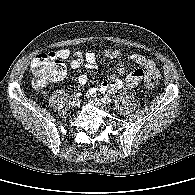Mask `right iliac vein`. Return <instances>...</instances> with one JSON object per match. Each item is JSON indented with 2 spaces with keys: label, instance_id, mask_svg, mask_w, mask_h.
Returning a JSON list of instances; mask_svg holds the SVG:
<instances>
[{
  "label": "right iliac vein",
  "instance_id": "63e3f726",
  "mask_svg": "<svg viewBox=\"0 0 195 195\" xmlns=\"http://www.w3.org/2000/svg\"><path fill=\"white\" fill-rule=\"evenodd\" d=\"M81 101L78 98H74L73 101L71 102L72 106L78 107L80 105Z\"/></svg>",
  "mask_w": 195,
  "mask_h": 195
}]
</instances>
